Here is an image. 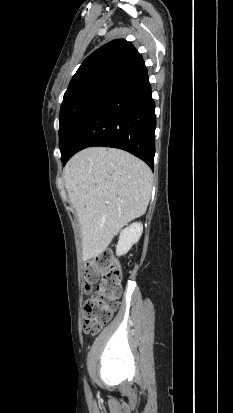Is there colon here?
<instances>
[{
	"label": "colon",
	"instance_id": "1",
	"mask_svg": "<svg viewBox=\"0 0 233 413\" xmlns=\"http://www.w3.org/2000/svg\"><path fill=\"white\" fill-rule=\"evenodd\" d=\"M121 267L111 252L104 251L85 266V290L96 289L86 301L83 311V331L97 333L112 318L121 295Z\"/></svg>",
	"mask_w": 233,
	"mask_h": 413
}]
</instances>
